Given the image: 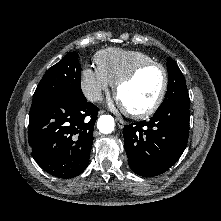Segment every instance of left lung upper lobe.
<instances>
[{"mask_svg": "<svg viewBox=\"0 0 221 221\" xmlns=\"http://www.w3.org/2000/svg\"><path fill=\"white\" fill-rule=\"evenodd\" d=\"M167 65L169 74L168 87L165 99L160 107L170 103L177 97L188 95L185 78L178 66L171 58H168Z\"/></svg>", "mask_w": 221, "mask_h": 221, "instance_id": "5c2ea615", "label": "left lung upper lobe"}]
</instances>
